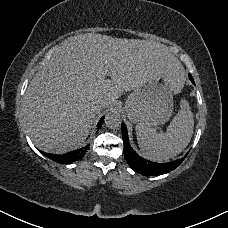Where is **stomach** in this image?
Returning a JSON list of instances; mask_svg holds the SVG:
<instances>
[{"label": "stomach", "instance_id": "0dacf381", "mask_svg": "<svg viewBox=\"0 0 228 228\" xmlns=\"http://www.w3.org/2000/svg\"><path fill=\"white\" fill-rule=\"evenodd\" d=\"M173 91L171 75L150 78L129 95L125 105L129 119L147 127L164 124L172 116Z\"/></svg>", "mask_w": 228, "mask_h": 228}]
</instances>
